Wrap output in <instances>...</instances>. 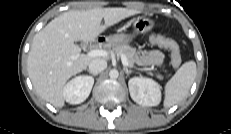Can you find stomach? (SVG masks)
Returning a JSON list of instances; mask_svg holds the SVG:
<instances>
[{"label": "stomach", "instance_id": "obj_1", "mask_svg": "<svg viewBox=\"0 0 231 134\" xmlns=\"http://www.w3.org/2000/svg\"><path fill=\"white\" fill-rule=\"evenodd\" d=\"M155 26L152 19L147 16H139L133 22V34H116L109 36L107 42L112 45L126 44L130 42L135 36L144 34L150 31Z\"/></svg>", "mask_w": 231, "mask_h": 134}]
</instances>
